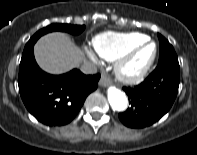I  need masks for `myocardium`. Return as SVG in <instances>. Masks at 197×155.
Segmentation results:
<instances>
[{"label": "myocardium", "mask_w": 197, "mask_h": 155, "mask_svg": "<svg viewBox=\"0 0 197 155\" xmlns=\"http://www.w3.org/2000/svg\"><path fill=\"white\" fill-rule=\"evenodd\" d=\"M146 46L153 47L151 56L149 57L148 61L138 69L130 68L129 65L132 59L140 50H142ZM157 51L158 49L156 43L149 38L128 49L116 61L115 74L117 78L120 81L128 84H134L143 80L155 62Z\"/></svg>", "instance_id": "obj_1"}]
</instances>
